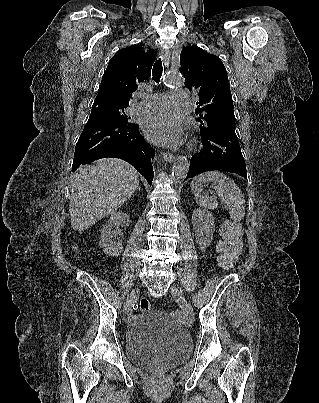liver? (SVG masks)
Returning <instances> with one entry per match:
<instances>
[{"instance_id": "obj_1", "label": "liver", "mask_w": 319, "mask_h": 403, "mask_svg": "<svg viewBox=\"0 0 319 403\" xmlns=\"http://www.w3.org/2000/svg\"><path fill=\"white\" fill-rule=\"evenodd\" d=\"M139 173L127 162L105 158L72 175L71 227L83 231L114 213L134 193Z\"/></svg>"}]
</instances>
